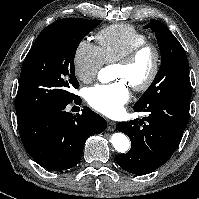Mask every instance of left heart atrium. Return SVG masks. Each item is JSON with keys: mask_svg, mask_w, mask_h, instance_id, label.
Wrapping results in <instances>:
<instances>
[{"mask_svg": "<svg viewBox=\"0 0 199 199\" xmlns=\"http://www.w3.org/2000/svg\"><path fill=\"white\" fill-rule=\"evenodd\" d=\"M129 98L128 84L124 80L93 86L88 89L86 94L89 105L109 117L119 116Z\"/></svg>", "mask_w": 199, "mask_h": 199, "instance_id": "1", "label": "left heart atrium"}]
</instances>
